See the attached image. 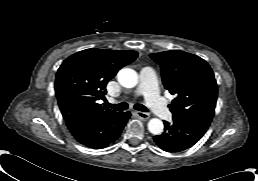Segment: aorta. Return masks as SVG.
Wrapping results in <instances>:
<instances>
[{"instance_id": "1", "label": "aorta", "mask_w": 258, "mask_h": 181, "mask_svg": "<svg viewBox=\"0 0 258 181\" xmlns=\"http://www.w3.org/2000/svg\"><path fill=\"white\" fill-rule=\"evenodd\" d=\"M118 82L125 88H133L138 84V74L135 70L130 68H123L117 74ZM163 122L158 118H152L148 122V130L154 134L159 135L163 132Z\"/></svg>"}]
</instances>
